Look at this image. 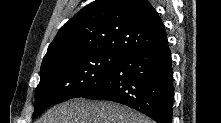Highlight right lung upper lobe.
<instances>
[{
  "label": "right lung upper lobe",
  "mask_w": 221,
  "mask_h": 123,
  "mask_svg": "<svg viewBox=\"0 0 221 123\" xmlns=\"http://www.w3.org/2000/svg\"><path fill=\"white\" fill-rule=\"evenodd\" d=\"M166 42L164 24L147 0H96L60 28L42 64L82 51L128 54Z\"/></svg>",
  "instance_id": "cb5924a9"
}]
</instances>
